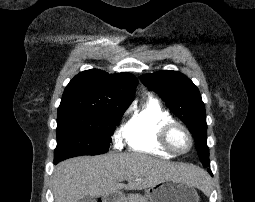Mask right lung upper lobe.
Here are the masks:
<instances>
[{"mask_svg": "<svg viewBox=\"0 0 255 202\" xmlns=\"http://www.w3.org/2000/svg\"><path fill=\"white\" fill-rule=\"evenodd\" d=\"M138 84L130 73L91 69L76 75L64 90L58 115L127 108Z\"/></svg>", "mask_w": 255, "mask_h": 202, "instance_id": "1", "label": "right lung upper lobe"}]
</instances>
